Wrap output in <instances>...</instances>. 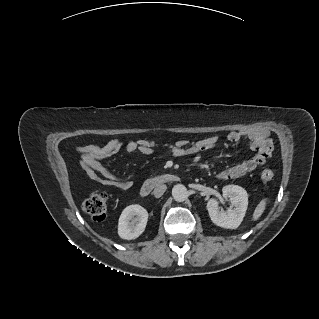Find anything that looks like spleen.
I'll use <instances>...</instances> for the list:
<instances>
[{
    "instance_id": "spleen-1",
    "label": "spleen",
    "mask_w": 319,
    "mask_h": 319,
    "mask_svg": "<svg viewBox=\"0 0 319 319\" xmlns=\"http://www.w3.org/2000/svg\"><path fill=\"white\" fill-rule=\"evenodd\" d=\"M267 205V200L266 199H262L259 204L257 205V207L255 208L253 215H252V220L256 221L258 220L261 215L263 214L265 208Z\"/></svg>"
}]
</instances>
